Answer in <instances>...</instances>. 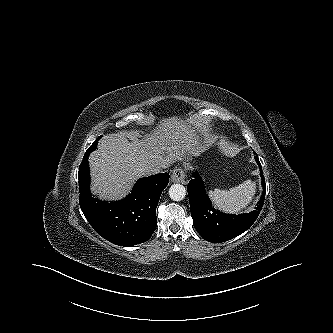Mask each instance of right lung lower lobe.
<instances>
[{
	"label": "right lung lower lobe",
	"instance_id": "1",
	"mask_svg": "<svg viewBox=\"0 0 333 333\" xmlns=\"http://www.w3.org/2000/svg\"><path fill=\"white\" fill-rule=\"evenodd\" d=\"M89 153L78 172L80 207L93 229L116 245L129 247L147 241L157 226L156 207L168 185L169 174L140 179L123 200L107 203L92 197L89 184Z\"/></svg>",
	"mask_w": 333,
	"mask_h": 333
}]
</instances>
